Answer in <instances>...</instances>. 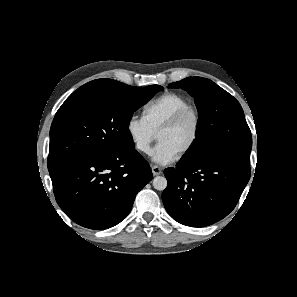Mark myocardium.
Instances as JSON below:
<instances>
[{
  "label": "myocardium",
  "instance_id": "myocardium-1",
  "mask_svg": "<svg viewBox=\"0 0 297 297\" xmlns=\"http://www.w3.org/2000/svg\"><path fill=\"white\" fill-rule=\"evenodd\" d=\"M187 116H192L194 119V133L189 143L179 153L180 157H183L189 154L198 143L201 129H202V118L198 109L192 105L183 107L182 109L177 111L169 120H167L157 131V137H158L159 134H161L162 132H165L177 127Z\"/></svg>",
  "mask_w": 297,
  "mask_h": 297
}]
</instances>
